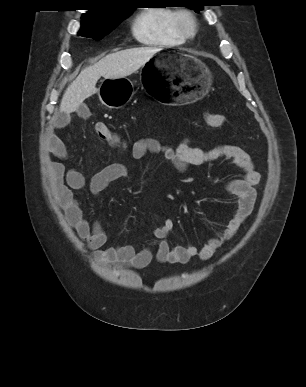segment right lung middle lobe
I'll return each mask as SVG.
<instances>
[{"label":"right lung middle lobe","instance_id":"dd1d6c3e","mask_svg":"<svg viewBox=\"0 0 306 387\" xmlns=\"http://www.w3.org/2000/svg\"><path fill=\"white\" fill-rule=\"evenodd\" d=\"M132 11L131 7L124 8V10L116 16L104 21L82 20V26L78 35L100 40L110 33L122 19L128 17Z\"/></svg>","mask_w":306,"mask_h":387}]
</instances>
